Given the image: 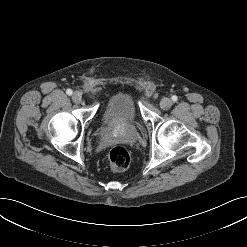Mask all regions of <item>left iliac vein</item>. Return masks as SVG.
Masks as SVG:
<instances>
[{"label":"left iliac vein","mask_w":247,"mask_h":247,"mask_svg":"<svg viewBox=\"0 0 247 247\" xmlns=\"http://www.w3.org/2000/svg\"><path fill=\"white\" fill-rule=\"evenodd\" d=\"M171 106H172V101L169 98H163L160 101V108L163 110H168L171 108Z\"/></svg>","instance_id":"obj_1"}]
</instances>
